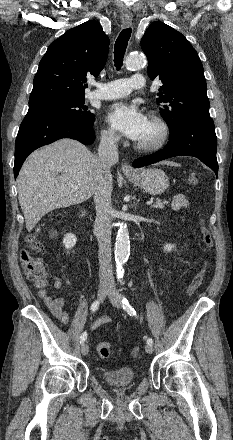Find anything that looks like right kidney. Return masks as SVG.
<instances>
[{"label": "right kidney", "mask_w": 233, "mask_h": 440, "mask_svg": "<svg viewBox=\"0 0 233 440\" xmlns=\"http://www.w3.org/2000/svg\"><path fill=\"white\" fill-rule=\"evenodd\" d=\"M54 235H55L54 233L51 234V236H54ZM76 242H77V238L72 233L66 234L63 238V244L67 250H70L71 248H73L75 246Z\"/></svg>", "instance_id": "obj_1"}]
</instances>
